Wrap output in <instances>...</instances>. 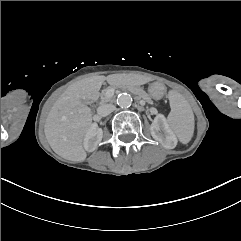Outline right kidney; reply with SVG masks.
Instances as JSON below:
<instances>
[{
  "label": "right kidney",
  "mask_w": 241,
  "mask_h": 241,
  "mask_svg": "<svg viewBox=\"0 0 241 241\" xmlns=\"http://www.w3.org/2000/svg\"><path fill=\"white\" fill-rule=\"evenodd\" d=\"M102 138H103L102 129L99 128L97 124H93L85 138V142H84L85 149L88 152L95 151L98 148L99 144L101 143Z\"/></svg>",
  "instance_id": "1"
}]
</instances>
